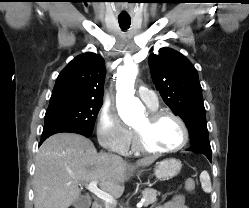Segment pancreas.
<instances>
[{
	"instance_id": "cf45deb5",
	"label": "pancreas",
	"mask_w": 249,
	"mask_h": 208,
	"mask_svg": "<svg viewBox=\"0 0 249 208\" xmlns=\"http://www.w3.org/2000/svg\"><path fill=\"white\" fill-rule=\"evenodd\" d=\"M160 194L157 190L152 188H146L142 191L143 198L145 199L143 205L147 207L157 201V195ZM104 208H113L110 204L106 203Z\"/></svg>"
}]
</instances>
